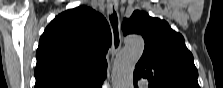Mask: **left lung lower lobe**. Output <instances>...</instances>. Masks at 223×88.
<instances>
[{
  "label": "left lung lower lobe",
  "mask_w": 223,
  "mask_h": 88,
  "mask_svg": "<svg viewBox=\"0 0 223 88\" xmlns=\"http://www.w3.org/2000/svg\"><path fill=\"white\" fill-rule=\"evenodd\" d=\"M134 86L137 87L136 83H134Z\"/></svg>",
  "instance_id": "0a47b994"
}]
</instances>
